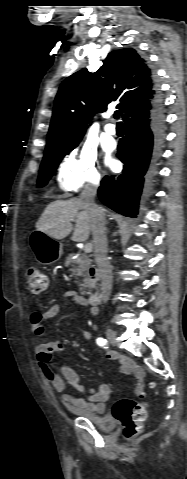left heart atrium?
<instances>
[{
	"instance_id": "obj_1",
	"label": "left heart atrium",
	"mask_w": 187,
	"mask_h": 479,
	"mask_svg": "<svg viewBox=\"0 0 187 479\" xmlns=\"http://www.w3.org/2000/svg\"><path fill=\"white\" fill-rule=\"evenodd\" d=\"M109 164L114 167L115 166V162L114 161H110Z\"/></svg>"
}]
</instances>
